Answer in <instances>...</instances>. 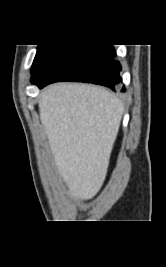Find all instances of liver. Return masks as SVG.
Wrapping results in <instances>:
<instances>
[{
    "label": "liver",
    "mask_w": 166,
    "mask_h": 267,
    "mask_svg": "<svg viewBox=\"0 0 166 267\" xmlns=\"http://www.w3.org/2000/svg\"><path fill=\"white\" fill-rule=\"evenodd\" d=\"M39 112L70 195L93 198L105 180L123 115L121 101L102 87L59 83L42 90Z\"/></svg>",
    "instance_id": "obj_1"
}]
</instances>
